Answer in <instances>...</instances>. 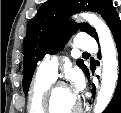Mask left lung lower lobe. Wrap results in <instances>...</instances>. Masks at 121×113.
I'll use <instances>...</instances> for the list:
<instances>
[{"label":"left lung lower lobe","mask_w":121,"mask_h":113,"mask_svg":"<svg viewBox=\"0 0 121 113\" xmlns=\"http://www.w3.org/2000/svg\"><path fill=\"white\" fill-rule=\"evenodd\" d=\"M110 29L118 51L119 77L114 96L103 113H121V20L119 16L115 19ZM92 92L95 95V87H93Z\"/></svg>","instance_id":"obj_1"}]
</instances>
